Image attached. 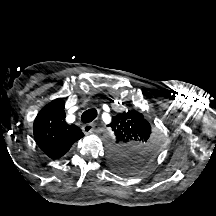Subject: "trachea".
Returning <instances> with one entry per match:
<instances>
[{
  "instance_id": "obj_1",
  "label": "trachea",
  "mask_w": 216,
  "mask_h": 216,
  "mask_svg": "<svg viewBox=\"0 0 216 216\" xmlns=\"http://www.w3.org/2000/svg\"><path fill=\"white\" fill-rule=\"evenodd\" d=\"M97 117V110L95 108L86 110L82 116L81 120L83 123H90Z\"/></svg>"
}]
</instances>
